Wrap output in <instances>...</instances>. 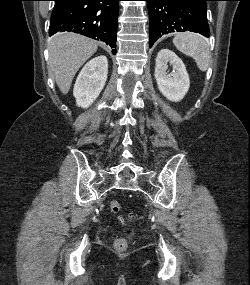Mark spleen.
<instances>
[{"label": "spleen", "instance_id": "obj_1", "mask_svg": "<svg viewBox=\"0 0 250 285\" xmlns=\"http://www.w3.org/2000/svg\"><path fill=\"white\" fill-rule=\"evenodd\" d=\"M175 47L187 56L192 57L197 67L205 72L210 61V48L206 39L198 33H179L173 38Z\"/></svg>", "mask_w": 250, "mask_h": 285}]
</instances>
